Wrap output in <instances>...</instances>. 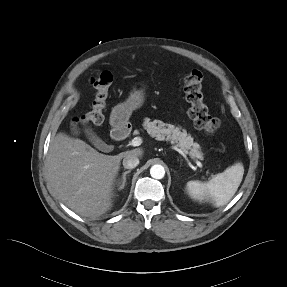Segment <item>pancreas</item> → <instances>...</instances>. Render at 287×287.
<instances>
[{
    "label": "pancreas",
    "instance_id": "1",
    "mask_svg": "<svg viewBox=\"0 0 287 287\" xmlns=\"http://www.w3.org/2000/svg\"><path fill=\"white\" fill-rule=\"evenodd\" d=\"M143 127L157 140L169 141L172 144H176L185 154H189L191 158L203 159L200 145L195 143L191 135L180 126L164 123L160 120L151 121L149 118H145Z\"/></svg>",
    "mask_w": 287,
    "mask_h": 287
}]
</instances>
